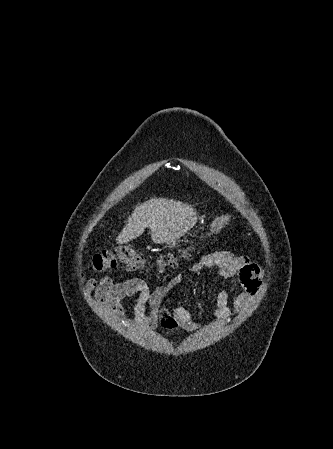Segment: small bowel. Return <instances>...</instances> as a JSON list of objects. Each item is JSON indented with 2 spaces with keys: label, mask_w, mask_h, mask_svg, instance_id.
Wrapping results in <instances>:
<instances>
[{
  "label": "small bowel",
  "mask_w": 333,
  "mask_h": 449,
  "mask_svg": "<svg viewBox=\"0 0 333 449\" xmlns=\"http://www.w3.org/2000/svg\"><path fill=\"white\" fill-rule=\"evenodd\" d=\"M203 268H215L219 277L233 282L231 287L220 286L214 302V316L218 321H226L231 317L228 301L234 297L236 311L245 309L258 294L263 272L261 268L246 256H238L227 251H219L205 255L201 260L186 269V273L198 274ZM183 275L177 274L168 284L159 286L153 291L140 278H131L114 282L110 277L91 278L85 281V287L93 292L97 301L117 318H123L125 311L121 301L136 297L133 306L135 322L146 329L162 327L172 333L179 331L193 332L198 325L190 312L178 304L169 309L163 305L167 295L182 283Z\"/></svg>",
  "instance_id": "obj_1"
}]
</instances>
